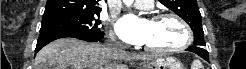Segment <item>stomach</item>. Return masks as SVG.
I'll return each mask as SVG.
<instances>
[{
	"label": "stomach",
	"instance_id": "0dacf381",
	"mask_svg": "<svg viewBox=\"0 0 246 69\" xmlns=\"http://www.w3.org/2000/svg\"><path fill=\"white\" fill-rule=\"evenodd\" d=\"M142 69H184L173 57H159L151 62L143 63Z\"/></svg>",
	"mask_w": 246,
	"mask_h": 69
}]
</instances>
